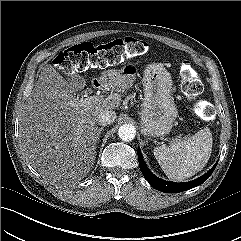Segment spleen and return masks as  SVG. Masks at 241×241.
Listing matches in <instances>:
<instances>
[{
  "label": "spleen",
  "instance_id": "3e777b00",
  "mask_svg": "<svg viewBox=\"0 0 241 241\" xmlns=\"http://www.w3.org/2000/svg\"><path fill=\"white\" fill-rule=\"evenodd\" d=\"M212 143L210 130L204 128L169 146L156 147L154 156L169 179L181 182L205 167L211 156Z\"/></svg>",
  "mask_w": 241,
  "mask_h": 241
}]
</instances>
